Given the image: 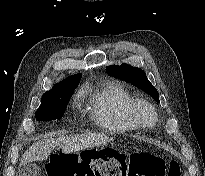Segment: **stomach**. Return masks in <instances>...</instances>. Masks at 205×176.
Listing matches in <instances>:
<instances>
[{
    "mask_svg": "<svg viewBox=\"0 0 205 176\" xmlns=\"http://www.w3.org/2000/svg\"><path fill=\"white\" fill-rule=\"evenodd\" d=\"M103 149H105V148H101V149H98V148H88V149H85V150H83V152H91V151H96V152H99L100 150H103Z\"/></svg>",
    "mask_w": 205,
    "mask_h": 176,
    "instance_id": "stomach-1",
    "label": "stomach"
}]
</instances>
